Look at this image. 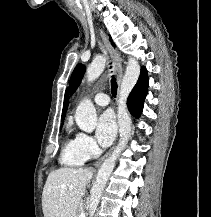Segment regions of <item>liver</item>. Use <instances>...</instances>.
Masks as SVG:
<instances>
[{
    "instance_id": "6515ba94",
    "label": "liver",
    "mask_w": 211,
    "mask_h": 217,
    "mask_svg": "<svg viewBox=\"0 0 211 217\" xmlns=\"http://www.w3.org/2000/svg\"><path fill=\"white\" fill-rule=\"evenodd\" d=\"M92 176V171L84 168L50 172L42 193L44 217H73Z\"/></svg>"
}]
</instances>
